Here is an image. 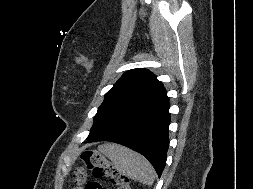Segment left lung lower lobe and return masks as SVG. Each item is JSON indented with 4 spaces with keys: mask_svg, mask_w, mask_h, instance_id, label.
I'll use <instances>...</instances> for the list:
<instances>
[{
    "mask_svg": "<svg viewBox=\"0 0 253 189\" xmlns=\"http://www.w3.org/2000/svg\"><path fill=\"white\" fill-rule=\"evenodd\" d=\"M169 99L138 113L113 130L88 136L87 142L111 141L125 145L145 156L160 177L166 164L169 147Z\"/></svg>",
    "mask_w": 253,
    "mask_h": 189,
    "instance_id": "1",
    "label": "left lung lower lobe"
}]
</instances>
